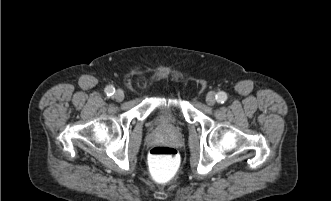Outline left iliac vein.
<instances>
[{"mask_svg":"<svg viewBox=\"0 0 331 201\" xmlns=\"http://www.w3.org/2000/svg\"><path fill=\"white\" fill-rule=\"evenodd\" d=\"M206 102L209 106H213L216 103V97H215V93L213 91H211L207 94Z\"/></svg>","mask_w":331,"mask_h":201,"instance_id":"obj_1","label":"left iliac vein"}]
</instances>
